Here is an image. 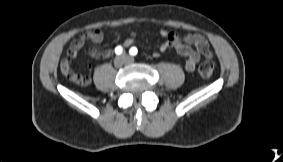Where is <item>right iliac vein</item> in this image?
Wrapping results in <instances>:
<instances>
[{
    "label": "right iliac vein",
    "instance_id": "1",
    "mask_svg": "<svg viewBox=\"0 0 283 162\" xmlns=\"http://www.w3.org/2000/svg\"><path fill=\"white\" fill-rule=\"evenodd\" d=\"M122 64H123V60H122L121 58H117V59L115 60V65H116L117 67L121 66Z\"/></svg>",
    "mask_w": 283,
    "mask_h": 162
}]
</instances>
